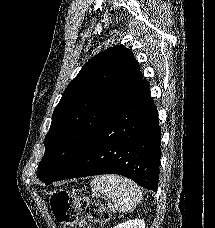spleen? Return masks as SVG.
Segmentation results:
<instances>
[{"label":"spleen","instance_id":"1","mask_svg":"<svg viewBox=\"0 0 215 228\" xmlns=\"http://www.w3.org/2000/svg\"><path fill=\"white\" fill-rule=\"evenodd\" d=\"M91 188L96 192H101L106 198H111L119 212H129L142 200V192L139 186L132 180L123 178V176H116V174L94 176Z\"/></svg>","mask_w":215,"mask_h":228}]
</instances>
